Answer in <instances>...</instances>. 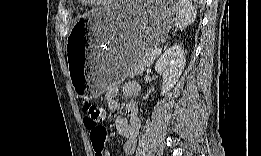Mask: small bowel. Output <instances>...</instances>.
I'll use <instances>...</instances> for the list:
<instances>
[{
	"mask_svg": "<svg viewBox=\"0 0 261 156\" xmlns=\"http://www.w3.org/2000/svg\"><path fill=\"white\" fill-rule=\"evenodd\" d=\"M140 91V86L136 82H127L124 84L122 92L128 99L125 105L127 116H118L115 120L116 131L126 139L124 144V154L127 156L133 155L136 150L138 135L140 131V120L138 117V107L132 100ZM107 106L110 110L117 111L121 104L111 93L106 98ZM106 140L108 137L106 136ZM105 140V141H106ZM98 156H109L108 150L103 147Z\"/></svg>",
	"mask_w": 261,
	"mask_h": 156,
	"instance_id": "obj_1",
	"label": "small bowel"
}]
</instances>
